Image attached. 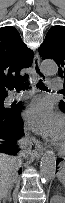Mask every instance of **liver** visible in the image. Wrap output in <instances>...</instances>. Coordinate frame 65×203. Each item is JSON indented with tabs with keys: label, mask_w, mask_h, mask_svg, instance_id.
I'll return each mask as SVG.
<instances>
[{
	"label": "liver",
	"mask_w": 65,
	"mask_h": 203,
	"mask_svg": "<svg viewBox=\"0 0 65 203\" xmlns=\"http://www.w3.org/2000/svg\"><path fill=\"white\" fill-rule=\"evenodd\" d=\"M17 157L7 154H0V199L3 200L8 196L15 173L18 169Z\"/></svg>",
	"instance_id": "1"
}]
</instances>
